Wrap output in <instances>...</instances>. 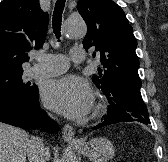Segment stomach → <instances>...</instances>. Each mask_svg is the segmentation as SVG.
<instances>
[{"label": "stomach", "instance_id": "stomach-1", "mask_svg": "<svg viewBox=\"0 0 168 162\" xmlns=\"http://www.w3.org/2000/svg\"><path fill=\"white\" fill-rule=\"evenodd\" d=\"M81 153L93 162H108L115 154L111 141L106 138H92L80 147Z\"/></svg>", "mask_w": 168, "mask_h": 162}]
</instances>
